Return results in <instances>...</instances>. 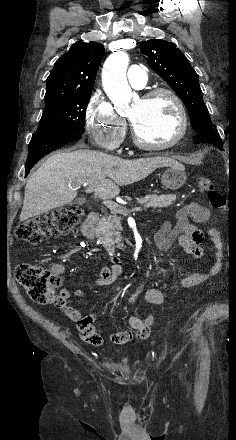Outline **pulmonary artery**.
Wrapping results in <instances>:
<instances>
[{"mask_svg":"<svg viewBox=\"0 0 236 440\" xmlns=\"http://www.w3.org/2000/svg\"><path fill=\"white\" fill-rule=\"evenodd\" d=\"M128 81L134 88H142L147 82V71L140 65H132L128 70Z\"/></svg>","mask_w":236,"mask_h":440,"instance_id":"1","label":"pulmonary artery"}]
</instances>
